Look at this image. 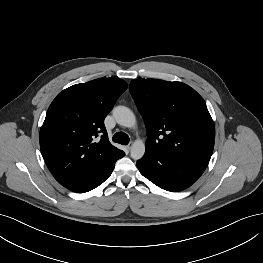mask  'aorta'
I'll return each mask as SVG.
<instances>
[{"label":"aorta","mask_w":263,"mask_h":263,"mask_svg":"<svg viewBox=\"0 0 263 263\" xmlns=\"http://www.w3.org/2000/svg\"><path fill=\"white\" fill-rule=\"evenodd\" d=\"M113 117L116 122L124 127L133 128L136 126V117L134 113L125 106H117L113 109ZM131 158L141 159L145 154V144L142 140H136L131 146Z\"/></svg>","instance_id":"obj_1"}]
</instances>
